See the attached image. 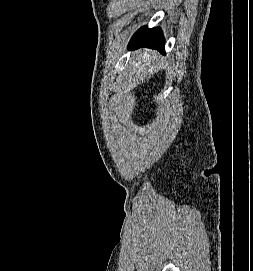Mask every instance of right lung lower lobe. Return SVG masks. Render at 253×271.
Masks as SVG:
<instances>
[{
    "label": "right lung lower lobe",
    "mask_w": 253,
    "mask_h": 271,
    "mask_svg": "<svg viewBox=\"0 0 253 271\" xmlns=\"http://www.w3.org/2000/svg\"><path fill=\"white\" fill-rule=\"evenodd\" d=\"M164 38L160 28L148 29L147 27L140 28L131 38L128 48L149 47L157 49L164 53Z\"/></svg>",
    "instance_id": "1"
}]
</instances>
